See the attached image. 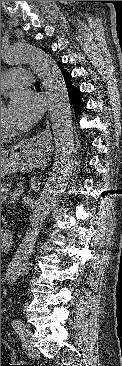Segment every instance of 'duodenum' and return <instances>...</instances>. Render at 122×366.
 <instances>
[{
	"instance_id": "410a0bca",
	"label": "duodenum",
	"mask_w": 122,
	"mask_h": 366,
	"mask_svg": "<svg viewBox=\"0 0 122 366\" xmlns=\"http://www.w3.org/2000/svg\"><path fill=\"white\" fill-rule=\"evenodd\" d=\"M12 238L10 233H1V247H9L11 244Z\"/></svg>"
}]
</instances>
